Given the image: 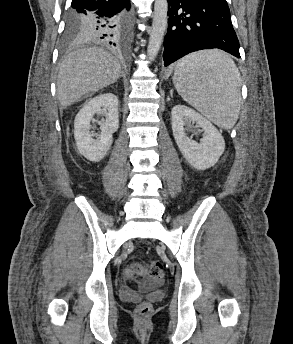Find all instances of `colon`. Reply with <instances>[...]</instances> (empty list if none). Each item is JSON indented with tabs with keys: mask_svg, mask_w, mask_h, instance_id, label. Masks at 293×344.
I'll use <instances>...</instances> for the list:
<instances>
[{
	"mask_svg": "<svg viewBox=\"0 0 293 344\" xmlns=\"http://www.w3.org/2000/svg\"><path fill=\"white\" fill-rule=\"evenodd\" d=\"M128 276L136 275L146 279L149 283L159 281L164 275V265L161 261L153 260L148 264L133 263L125 269ZM151 304L148 302L140 303L136 308L139 317H146L151 312Z\"/></svg>",
	"mask_w": 293,
	"mask_h": 344,
	"instance_id": "obj_1",
	"label": "colon"
}]
</instances>
